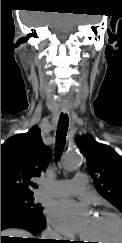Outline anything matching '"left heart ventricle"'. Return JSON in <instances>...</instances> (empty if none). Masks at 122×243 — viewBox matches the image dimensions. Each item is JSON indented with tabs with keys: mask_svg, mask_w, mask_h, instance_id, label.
I'll return each mask as SVG.
<instances>
[{
	"mask_svg": "<svg viewBox=\"0 0 122 243\" xmlns=\"http://www.w3.org/2000/svg\"><path fill=\"white\" fill-rule=\"evenodd\" d=\"M82 236L85 240H98V243H118L120 227L112 217L98 214L91 217Z\"/></svg>",
	"mask_w": 122,
	"mask_h": 243,
	"instance_id": "1",
	"label": "left heart ventricle"
}]
</instances>
